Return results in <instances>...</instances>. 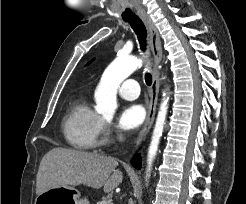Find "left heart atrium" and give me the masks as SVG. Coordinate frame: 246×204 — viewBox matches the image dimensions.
<instances>
[{
  "label": "left heart atrium",
  "instance_id": "left-heart-atrium-1",
  "mask_svg": "<svg viewBox=\"0 0 246 204\" xmlns=\"http://www.w3.org/2000/svg\"><path fill=\"white\" fill-rule=\"evenodd\" d=\"M146 110L140 104L125 106L117 119V127L124 131L137 129L145 120Z\"/></svg>",
  "mask_w": 246,
  "mask_h": 204
}]
</instances>
